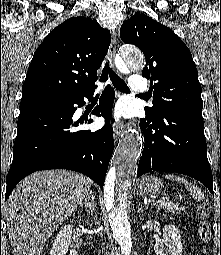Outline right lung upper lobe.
<instances>
[{"label": "right lung upper lobe", "instance_id": "1", "mask_svg": "<svg viewBox=\"0 0 221 255\" xmlns=\"http://www.w3.org/2000/svg\"><path fill=\"white\" fill-rule=\"evenodd\" d=\"M110 33L95 19L73 17L53 29L37 48L22 87L21 106L64 99L95 88Z\"/></svg>", "mask_w": 221, "mask_h": 255}]
</instances>
